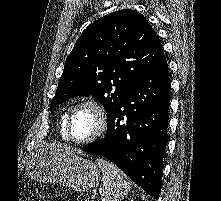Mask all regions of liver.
Wrapping results in <instances>:
<instances>
[{
	"label": "liver",
	"mask_w": 221,
	"mask_h": 201,
	"mask_svg": "<svg viewBox=\"0 0 221 201\" xmlns=\"http://www.w3.org/2000/svg\"><path fill=\"white\" fill-rule=\"evenodd\" d=\"M52 149H54L55 151H58V152L59 151H70L69 149L63 148V147L62 148L61 147L60 148L59 147H55V148H52Z\"/></svg>",
	"instance_id": "6515ba94"
}]
</instances>
